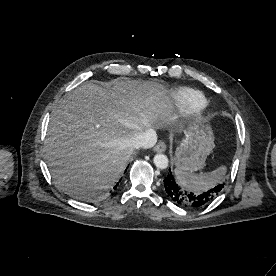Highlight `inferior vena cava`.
<instances>
[{"instance_id": "obj_1", "label": "inferior vena cava", "mask_w": 276, "mask_h": 276, "mask_svg": "<svg viewBox=\"0 0 276 276\" xmlns=\"http://www.w3.org/2000/svg\"><path fill=\"white\" fill-rule=\"evenodd\" d=\"M130 145L133 148H151L157 142V134L153 129L139 133L129 139Z\"/></svg>"}]
</instances>
